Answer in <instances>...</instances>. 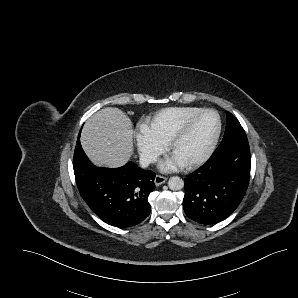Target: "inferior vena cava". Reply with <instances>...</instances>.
Segmentation results:
<instances>
[{
  "label": "inferior vena cava",
  "instance_id": "1",
  "mask_svg": "<svg viewBox=\"0 0 298 298\" xmlns=\"http://www.w3.org/2000/svg\"><path fill=\"white\" fill-rule=\"evenodd\" d=\"M157 158L153 153H142L139 157V167L147 169L152 163L157 161Z\"/></svg>",
  "mask_w": 298,
  "mask_h": 298
}]
</instances>
